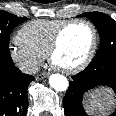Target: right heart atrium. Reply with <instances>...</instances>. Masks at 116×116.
Returning <instances> with one entry per match:
<instances>
[{
  "instance_id": "d8ad5b80",
  "label": "right heart atrium",
  "mask_w": 116,
  "mask_h": 116,
  "mask_svg": "<svg viewBox=\"0 0 116 116\" xmlns=\"http://www.w3.org/2000/svg\"><path fill=\"white\" fill-rule=\"evenodd\" d=\"M9 58L21 72L33 74L41 65L44 56L33 52L15 40L9 49Z\"/></svg>"
}]
</instances>
